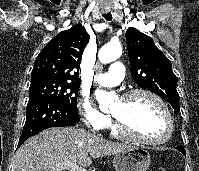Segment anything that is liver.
<instances>
[{"mask_svg": "<svg viewBox=\"0 0 199 171\" xmlns=\"http://www.w3.org/2000/svg\"><path fill=\"white\" fill-rule=\"evenodd\" d=\"M75 127L49 128L26 140L13 160L14 171H62V164L89 166L92 158L130 150Z\"/></svg>", "mask_w": 199, "mask_h": 171, "instance_id": "6515ba94", "label": "liver"}]
</instances>
